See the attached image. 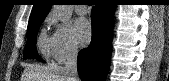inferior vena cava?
<instances>
[{
    "label": "inferior vena cava",
    "instance_id": "1",
    "mask_svg": "<svg viewBox=\"0 0 169 81\" xmlns=\"http://www.w3.org/2000/svg\"><path fill=\"white\" fill-rule=\"evenodd\" d=\"M77 56V47L74 45L70 46L66 53V62L64 67V71L69 77L70 81H78Z\"/></svg>",
    "mask_w": 169,
    "mask_h": 81
}]
</instances>
